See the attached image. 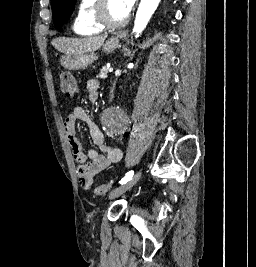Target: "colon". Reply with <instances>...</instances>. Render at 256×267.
Returning a JSON list of instances; mask_svg holds the SVG:
<instances>
[{"instance_id":"colon-1","label":"colon","mask_w":256,"mask_h":267,"mask_svg":"<svg viewBox=\"0 0 256 267\" xmlns=\"http://www.w3.org/2000/svg\"><path fill=\"white\" fill-rule=\"evenodd\" d=\"M77 87H78L77 81L69 71H62L60 73V88L65 95L70 96L75 94L77 91ZM113 187H114L113 182H106L97 185L93 191L94 194L97 196H104L109 192H111Z\"/></svg>"}]
</instances>
